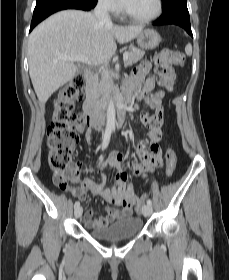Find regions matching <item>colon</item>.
<instances>
[{
	"label": "colon",
	"instance_id": "1",
	"mask_svg": "<svg viewBox=\"0 0 229 280\" xmlns=\"http://www.w3.org/2000/svg\"><path fill=\"white\" fill-rule=\"evenodd\" d=\"M183 53L162 49L155 57L154 72L160 83H167L175 79L173 65L184 64ZM86 80L82 76H75L71 82L62 87L53 100L52 120L47 130L48 164L54 171L53 181L61 189L69 188L68 173L73 163V148L78 139V133L88 125L87 122L74 112V104L83 98ZM151 100H149L150 102ZM150 127L160 124L157 115L145 121ZM166 174L172 176L176 170L177 159L174 151L168 149L166 154ZM144 199L131 198L126 203L134 205L141 211Z\"/></svg>",
	"mask_w": 229,
	"mask_h": 280
}]
</instances>
